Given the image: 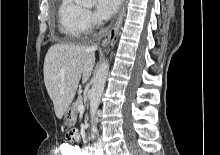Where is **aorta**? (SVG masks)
Masks as SVG:
<instances>
[{"instance_id":"1","label":"aorta","mask_w":220,"mask_h":155,"mask_svg":"<svg viewBox=\"0 0 220 155\" xmlns=\"http://www.w3.org/2000/svg\"><path fill=\"white\" fill-rule=\"evenodd\" d=\"M82 2L86 4H92L94 0H82ZM108 71H109V63L108 61H104L101 64V66L98 68L93 78L91 97H90L91 131L93 134H96L98 132L94 120L100 104L102 93L104 91Z\"/></svg>"}]
</instances>
